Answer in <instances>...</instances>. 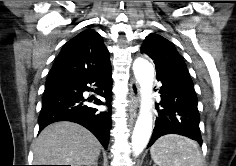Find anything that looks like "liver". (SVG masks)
<instances>
[{"label":"liver","mask_w":236,"mask_h":166,"mask_svg":"<svg viewBox=\"0 0 236 166\" xmlns=\"http://www.w3.org/2000/svg\"><path fill=\"white\" fill-rule=\"evenodd\" d=\"M100 151L101 144L90 131L68 121L47 126L33 146L35 165L90 166Z\"/></svg>","instance_id":"liver-1"}]
</instances>
